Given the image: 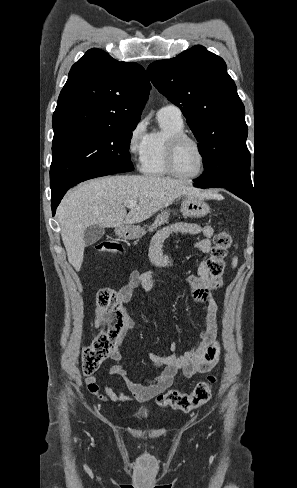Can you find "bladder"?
<instances>
[{
    "label": "bladder",
    "instance_id": "obj_1",
    "mask_svg": "<svg viewBox=\"0 0 297 488\" xmlns=\"http://www.w3.org/2000/svg\"><path fill=\"white\" fill-rule=\"evenodd\" d=\"M133 418L136 420H143L146 419V415L144 413L137 412L133 415Z\"/></svg>",
    "mask_w": 297,
    "mask_h": 488
}]
</instances>
